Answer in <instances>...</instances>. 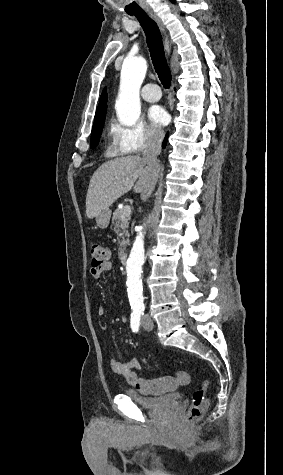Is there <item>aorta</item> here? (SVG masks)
<instances>
[{
    "mask_svg": "<svg viewBox=\"0 0 283 475\" xmlns=\"http://www.w3.org/2000/svg\"><path fill=\"white\" fill-rule=\"evenodd\" d=\"M147 71L143 57H127L122 65L120 89L116 101V112L121 123L134 125L141 113L140 88ZM153 221L143 219L137 226L133 247L129 254L126 273L128 298L132 308H143L142 268L145 258V245L151 237Z\"/></svg>",
    "mask_w": 283,
    "mask_h": 475,
    "instance_id": "aorta-1",
    "label": "aorta"
}]
</instances>
